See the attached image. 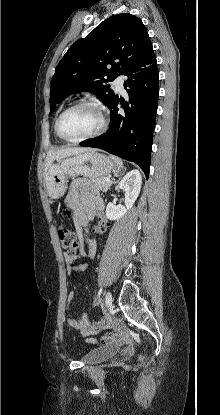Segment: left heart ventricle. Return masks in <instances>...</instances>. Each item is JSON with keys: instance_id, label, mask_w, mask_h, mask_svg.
Instances as JSON below:
<instances>
[{"instance_id": "left-heart-ventricle-1", "label": "left heart ventricle", "mask_w": 220, "mask_h": 415, "mask_svg": "<svg viewBox=\"0 0 220 415\" xmlns=\"http://www.w3.org/2000/svg\"><path fill=\"white\" fill-rule=\"evenodd\" d=\"M100 126V116L92 107H80L68 112L61 120L60 131L69 139H76L95 132Z\"/></svg>"}]
</instances>
